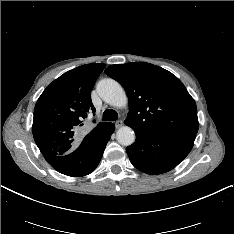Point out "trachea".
Returning <instances> with one entry per match:
<instances>
[{"label":"trachea","mask_w":234,"mask_h":234,"mask_svg":"<svg viewBox=\"0 0 234 234\" xmlns=\"http://www.w3.org/2000/svg\"><path fill=\"white\" fill-rule=\"evenodd\" d=\"M103 121H116L118 119V113L112 109H106L103 112Z\"/></svg>","instance_id":"obj_1"}]
</instances>
